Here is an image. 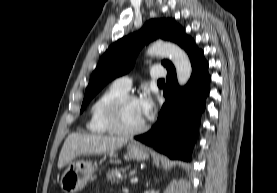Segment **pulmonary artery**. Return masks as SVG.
<instances>
[{"instance_id": "e3ab8cb5", "label": "pulmonary artery", "mask_w": 277, "mask_h": 193, "mask_svg": "<svg viewBox=\"0 0 277 193\" xmlns=\"http://www.w3.org/2000/svg\"><path fill=\"white\" fill-rule=\"evenodd\" d=\"M166 75V71L160 66H154L150 70V76L153 79L163 78ZM114 84L124 92L130 90L132 85V79L129 76H122L114 81Z\"/></svg>"}]
</instances>
